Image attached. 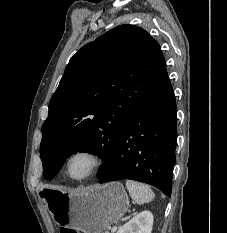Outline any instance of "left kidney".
<instances>
[{
  "instance_id": "5707ae66",
  "label": "left kidney",
  "mask_w": 227,
  "mask_h": 233,
  "mask_svg": "<svg viewBox=\"0 0 227 233\" xmlns=\"http://www.w3.org/2000/svg\"><path fill=\"white\" fill-rule=\"evenodd\" d=\"M153 219V215L150 211L140 212L129 222L120 227L117 233H151Z\"/></svg>"
}]
</instances>
